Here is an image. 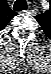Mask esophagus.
<instances>
[{"instance_id":"obj_1","label":"esophagus","mask_w":51,"mask_h":74,"mask_svg":"<svg viewBox=\"0 0 51 74\" xmlns=\"http://www.w3.org/2000/svg\"><path fill=\"white\" fill-rule=\"evenodd\" d=\"M26 13H30V11L28 10V11H26Z\"/></svg>"}]
</instances>
